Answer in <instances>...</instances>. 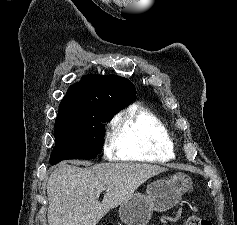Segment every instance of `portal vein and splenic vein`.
Returning <instances> with one entry per match:
<instances>
[{
	"label": "portal vein and splenic vein",
	"mask_w": 237,
	"mask_h": 225,
	"mask_svg": "<svg viewBox=\"0 0 237 225\" xmlns=\"http://www.w3.org/2000/svg\"><path fill=\"white\" fill-rule=\"evenodd\" d=\"M104 189H105V188H104L103 186H100V187L97 188V191H98V192H101V191L104 190Z\"/></svg>",
	"instance_id": "portal-vein-and-splenic-vein-1"
}]
</instances>
